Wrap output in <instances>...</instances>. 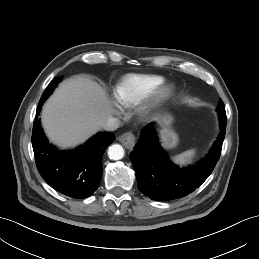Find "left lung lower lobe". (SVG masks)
I'll return each instance as SVG.
<instances>
[{
    "mask_svg": "<svg viewBox=\"0 0 259 259\" xmlns=\"http://www.w3.org/2000/svg\"><path fill=\"white\" fill-rule=\"evenodd\" d=\"M220 132L207 157L189 168L173 165L155 135L152 124L146 125L130 153L138 188L152 200L169 201L182 198L198 188L211 174L221 154L227 117L217 110Z\"/></svg>",
    "mask_w": 259,
    "mask_h": 259,
    "instance_id": "left-lung-lower-lobe-1",
    "label": "left lung lower lobe"
}]
</instances>
